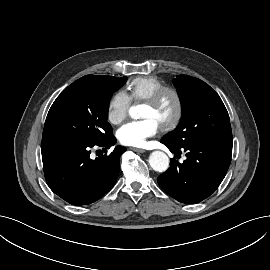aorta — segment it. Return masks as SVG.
<instances>
[{
    "label": "aorta",
    "mask_w": 270,
    "mask_h": 270,
    "mask_svg": "<svg viewBox=\"0 0 270 270\" xmlns=\"http://www.w3.org/2000/svg\"><path fill=\"white\" fill-rule=\"evenodd\" d=\"M131 118L138 119L140 117V107L132 106L129 109ZM149 164L151 168L157 172H164L169 167V158L162 151H154L149 156Z\"/></svg>",
    "instance_id": "aorta-1"
}]
</instances>
